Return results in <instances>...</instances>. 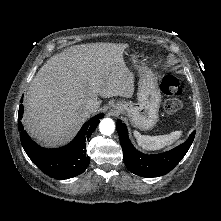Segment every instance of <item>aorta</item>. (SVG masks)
<instances>
[{"label":"aorta","mask_w":221,"mask_h":221,"mask_svg":"<svg viewBox=\"0 0 221 221\" xmlns=\"http://www.w3.org/2000/svg\"><path fill=\"white\" fill-rule=\"evenodd\" d=\"M99 130L103 135H111L115 130V123L110 118H104L99 124Z\"/></svg>","instance_id":"obj_1"}]
</instances>
